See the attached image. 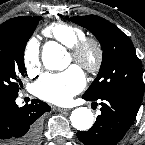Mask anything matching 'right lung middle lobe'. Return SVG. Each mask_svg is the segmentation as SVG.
Here are the masks:
<instances>
[{
  "mask_svg": "<svg viewBox=\"0 0 145 145\" xmlns=\"http://www.w3.org/2000/svg\"><path fill=\"white\" fill-rule=\"evenodd\" d=\"M41 17H35L27 25L0 33V90L18 93L20 75L25 72L24 49Z\"/></svg>",
  "mask_w": 145,
  "mask_h": 145,
  "instance_id": "right-lung-middle-lobe-1",
  "label": "right lung middle lobe"
}]
</instances>
